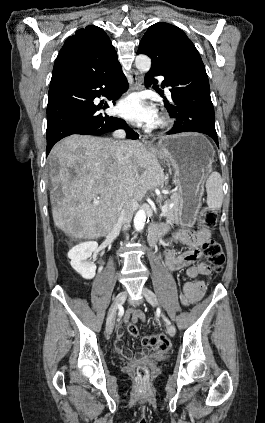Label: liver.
<instances>
[{
    "instance_id": "liver-1",
    "label": "liver",
    "mask_w": 265,
    "mask_h": 423,
    "mask_svg": "<svg viewBox=\"0 0 265 423\" xmlns=\"http://www.w3.org/2000/svg\"><path fill=\"white\" fill-rule=\"evenodd\" d=\"M123 156L119 161L112 139L77 134L52 148L48 163L56 170L50 176V200L57 228L75 239L105 236L116 224L126 195L137 202L163 183L158 159L140 142L126 141ZM95 199L99 205L92 203Z\"/></svg>"
}]
</instances>
